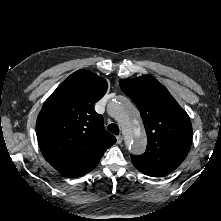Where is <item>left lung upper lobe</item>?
I'll list each match as a JSON object with an SVG mask.
<instances>
[{"label":"left lung upper lobe","instance_id":"1","mask_svg":"<svg viewBox=\"0 0 221 221\" xmlns=\"http://www.w3.org/2000/svg\"><path fill=\"white\" fill-rule=\"evenodd\" d=\"M122 91L136 104L147 133V149L131 155L143 174L163 176L175 170L187 156L192 143L188 114L168 90L150 75L119 81Z\"/></svg>","mask_w":221,"mask_h":221}]
</instances>
